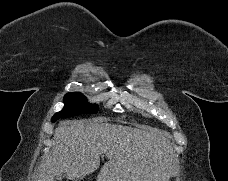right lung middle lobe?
I'll list each match as a JSON object with an SVG mask.
<instances>
[{
  "label": "right lung middle lobe",
  "mask_w": 228,
  "mask_h": 181,
  "mask_svg": "<svg viewBox=\"0 0 228 181\" xmlns=\"http://www.w3.org/2000/svg\"><path fill=\"white\" fill-rule=\"evenodd\" d=\"M64 108L52 117V122L60 118L77 116L80 114H95L98 111L96 104H88L87 99L81 93H67L64 96Z\"/></svg>",
  "instance_id": "1"
}]
</instances>
